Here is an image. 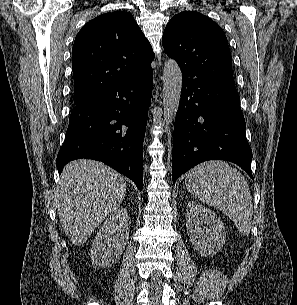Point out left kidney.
<instances>
[{
  "label": "left kidney",
  "instance_id": "1",
  "mask_svg": "<svg viewBox=\"0 0 297 305\" xmlns=\"http://www.w3.org/2000/svg\"><path fill=\"white\" fill-rule=\"evenodd\" d=\"M186 228L190 241L202 256L216 254L225 243L223 222L212 210L196 201L187 204Z\"/></svg>",
  "mask_w": 297,
  "mask_h": 305
}]
</instances>
